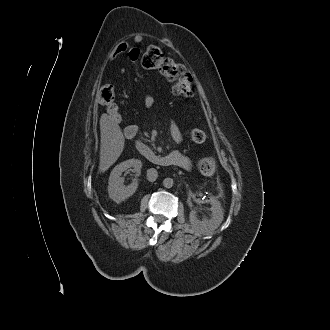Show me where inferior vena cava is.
<instances>
[{
  "mask_svg": "<svg viewBox=\"0 0 330 330\" xmlns=\"http://www.w3.org/2000/svg\"><path fill=\"white\" fill-rule=\"evenodd\" d=\"M158 177V172L154 168H150L147 170V180L150 182H154Z\"/></svg>",
  "mask_w": 330,
  "mask_h": 330,
  "instance_id": "obj_1",
  "label": "inferior vena cava"
}]
</instances>
